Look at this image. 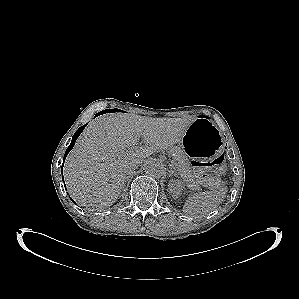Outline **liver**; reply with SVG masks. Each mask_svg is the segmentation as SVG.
<instances>
[{"mask_svg": "<svg viewBox=\"0 0 299 299\" xmlns=\"http://www.w3.org/2000/svg\"><path fill=\"white\" fill-rule=\"evenodd\" d=\"M194 118L110 113L92 121L68 155L64 177L81 206L103 209L119 197L129 166L178 143ZM142 137L145 146L137 147Z\"/></svg>", "mask_w": 299, "mask_h": 299, "instance_id": "6515ba94", "label": "liver"}]
</instances>
